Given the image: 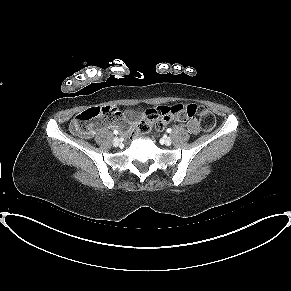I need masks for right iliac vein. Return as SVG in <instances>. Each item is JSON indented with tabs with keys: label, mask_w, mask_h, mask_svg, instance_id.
Here are the masks:
<instances>
[{
	"label": "right iliac vein",
	"mask_w": 291,
	"mask_h": 291,
	"mask_svg": "<svg viewBox=\"0 0 291 291\" xmlns=\"http://www.w3.org/2000/svg\"><path fill=\"white\" fill-rule=\"evenodd\" d=\"M113 145H114L115 147H117V146L120 145V139H119L118 137H115V138L113 139Z\"/></svg>",
	"instance_id": "63e3f726"
}]
</instances>
